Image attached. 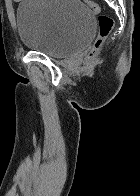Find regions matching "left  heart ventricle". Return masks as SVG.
<instances>
[{"instance_id": "b2bd125f", "label": "left heart ventricle", "mask_w": 140, "mask_h": 196, "mask_svg": "<svg viewBox=\"0 0 140 196\" xmlns=\"http://www.w3.org/2000/svg\"><path fill=\"white\" fill-rule=\"evenodd\" d=\"M44 192H55V191H44Z\"/></svg>"}]
</instances>
